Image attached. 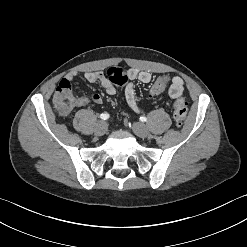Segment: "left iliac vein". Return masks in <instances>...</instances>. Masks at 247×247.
<instances>
[{
  "label": "left iliac vein",
  "instance_id": "left-iliac-vein-1",
  "mask_svg": "<svg viewBox=\"0 0 247 247\" xmlns=\"http://www.w3.org/2000/svg\"><path fill=\"white\" fill-rule=\"evenodd\" d=\"M132 129L134 133L141 138H146L150 134L148 127L142 123H134Z\"/></svg>",
  "mask_w": 247,
  "mask_h": 247
}]
</instances>
